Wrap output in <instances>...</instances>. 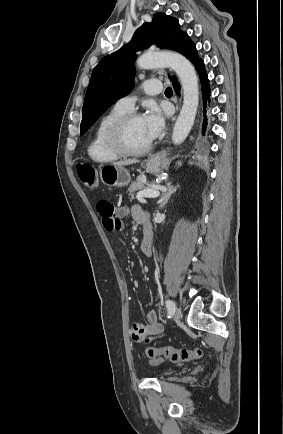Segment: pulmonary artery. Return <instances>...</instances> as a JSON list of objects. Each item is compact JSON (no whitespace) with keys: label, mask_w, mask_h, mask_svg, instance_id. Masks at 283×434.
Wrapping results in <instances>:
<instances>
[{"label":"pulmonary artery","mask_w":283,"mask_h":434,"mask_svg":"<svg viewBox=\"0 0 283 434\" xmlns=\"http://www.w3.org/2000/svg\"><path fill=\"white\" fill-rule=\"evenodd\" d=\"M143 89L148 95L159 94L162 90V85L159 80L151 79L143 83ZM136 98L134 96H125L116 102V107L124 111H131L134 108Z\"/></svg>","instance_id":"1"}]
</instances>
